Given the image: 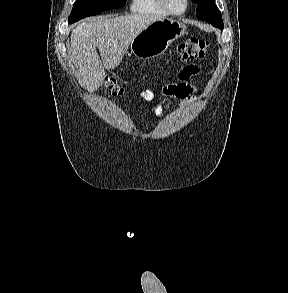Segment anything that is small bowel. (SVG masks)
<instances>
[{"label":"small bowel","mask_w":288,"mask_h":293,"mask_svg":"<svg viewBox=\"0 0 288 293\" xmlns=\"http://www.w3.org/2000/svg\"><path fill=\"white\" fill-rule=\"evenodd\" d=\"M198 72V68L195 65H188L185 68H183L179 74L178 79L179 81L177 83H173L170 85H167L163 89V93L166 96H171L178 98L180 100V106L184 108L188 103H190L193 100L192 92L193 88L187 83L189 78L193 75H195ZM141 96L146 101H152L154 99V94L152 91H144L141 93ZM170 103H167L165 105H156L154 107V114L158 119H161L163 117L164 111L168 110L170 107Z\"/></svg>","instance_id":"small-bowel-1"}]
</instances>
